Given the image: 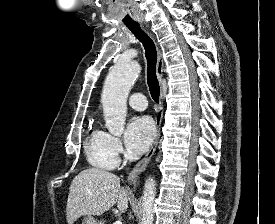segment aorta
Returning a JSON list of instances; mask_svg holds the SVG:
<instances>
[{
  "label": "aorta",
  "instance_id": "aorta-1",
  "mask_svg": "<svg viewBox=\"0 0 275 224\" xmlns=\"http://www.w3.org/2000/svg\"><path fill=\"white\" fill-rule=\"evenodd\" d=\"M140 72L135 61H119L108 73L102 91L105 127L111 134L124 131L127 97ZM156 183L152 177L145 181L142 195L141 224H153Z\"/></svg>",
  "mask_w": 275,
  "mask_h": 224
}]
</instances>
